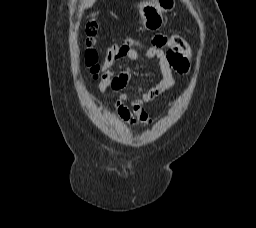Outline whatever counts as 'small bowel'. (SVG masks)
<instances>
[{
  "instance_id": "c3829d8e",
  "label": "small bowel",
  "mask_w": 256,
  "mask_h": 228,
  "mask_svg": "<svg viewBox=\"0 0 256 228\" xmlns=\"http://www.w3.org/2000/svg\"><path fill=\"white\" fill-rule=\"evenodd\" d=\"M124 58L138 59V49L133 46L125 47L115 62L104 61L103 75L99 82L101 93H105L108 89L119 91L134 82L130 70L127 69L118 74L113 71L114 65ZM146 58L158 60L162 78L155 86L147 90L140 89L139 98L129 99L124 94L119 96L115 104L117 112L129 124H148L150 119L144 108L145 104L156 100L175 85V73L184 74L189 69V60L171 48L169 37L164 35L154 37L152 45L146 51Z\"/></svg>"
}]
</instances>
